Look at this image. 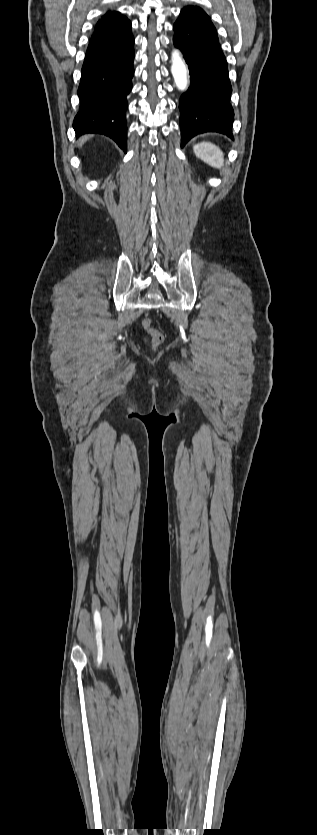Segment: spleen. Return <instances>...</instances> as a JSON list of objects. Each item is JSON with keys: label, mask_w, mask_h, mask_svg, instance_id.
Masks as SVG:
<instances>
[{"label": "spleen", "mask_w": 317, "mask_h": 835, "mask_svg": "<svg viewBox=\"0 0 317 835\" xmlns=\"http://www.w3.org/2000/svg\"><path fill=\"white\" fill-rule=\"evenodd\" d=\"M195 155L206 164L221 169L224 165V155L220 148L210 142H201L193 147Z\"/></svg>", "instance_id": "3e777b00"}]
</instances>
